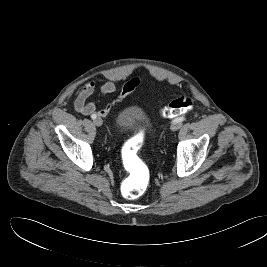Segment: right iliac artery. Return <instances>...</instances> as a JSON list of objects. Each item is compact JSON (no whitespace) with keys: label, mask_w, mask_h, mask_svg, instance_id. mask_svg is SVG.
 Listing matches in <instances>:
<instances>
[{"label":"right iliac artery","mask_w":267,"mask_h":267,"mask_svg":"<svg viewBox=\"0 0 267 267\" xmlns=\"http://www.w3.org/2000/svg\"><path fill=\"white\" fill-rule=\"evenodd\" d=\"M96 115L95 114H93V115H91V118L94 120V119H96Z\"/></svg>","instance_id":"obj_1"}]
</instances>
